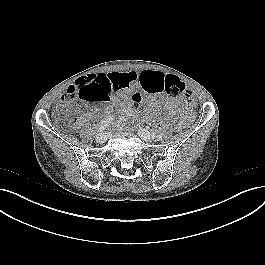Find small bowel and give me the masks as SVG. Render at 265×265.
Here are the masks:
<instances>
[{
    "label": "small bowel",
    "instance_id": "small-bowel-1",
    "mask_svg": "<svg viewBox=\"0 0 265 265\" xmlns=\"http://www.w3.org/2000/svg\"><path fill=\"white\" fill-rule=\"evenodd\" d=\"M168 75L159 70H143L140 72H113V73H100L92 74L83 79L101 78L107 82L111 91L120 96L127 92H131L134 89L140 87L149 94H152L157 86H159L165 76ZM121 107L126 112H131L132 108L130 104H122ZM180 107L179 102L166 98L160 103L157 101H151L147 106V111L153 114H157L160 108H163L166 112L174 115ZM92 117V113H85L77 119V123H82Z\"/></svg>",
    "mask_w": 265,
    "mask_h": 265
}]
</instances>
